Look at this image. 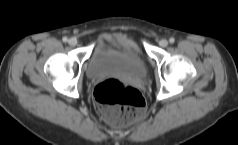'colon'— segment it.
Here are the masks:
<instances>
[{
	"mask_svg": "<svg viewBox=\"0 0 238 145\" xmlns=\"http://www.w3.org/2000/svg\"><path fill=\"white\" fill-rule=\"evenodd\" d=\"M95 106L99 114L115 124H126L143 117L145 100L141 92L118 79H107L94 90Z\"/></svg>",
	"mask_w": 238,
	"mask_h": 145,
	"instance_id": "colon-1",
	"label": "colon"
}]
</instances>
